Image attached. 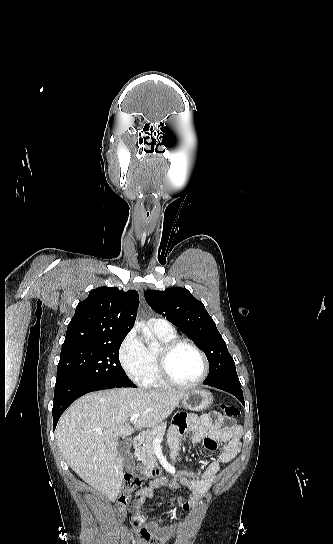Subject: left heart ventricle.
Masks as SVG:
<instances>
[{
    "label": "left heart ventricle",
    "mask_w": 333,
    "mask_h": 544,
    "mask_svg": "<svg viewBox=\"0 0 333 544\" xmlns=\"http://www.w3.org/2000/svg\"><path fill=\"white\" fill-rule=\"evenodd\" d=\"M170 371L179 382L189 383L203 372V362L197 352L189 347L179 348L170 359Z\"/></svg>",
    "instance_id": "1"
}]
</instances>
